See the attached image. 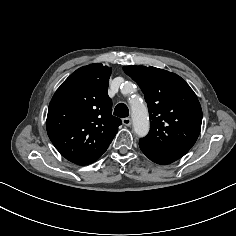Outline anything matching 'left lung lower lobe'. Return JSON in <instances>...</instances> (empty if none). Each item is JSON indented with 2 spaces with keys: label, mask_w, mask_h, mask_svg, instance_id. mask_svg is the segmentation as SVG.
<instances>
[{
  "label": "left lung lower lobe",
  "mask_w": 236,
  "mask_h": 236,
  "mask_svg": "<svg viewBox=\"0 0 236 236\" xmlns=\"http://www.w3.org/2000/svg\"><path fill=\"white\" fill-rule=\"evenodd\" d=\"M139 147L151 161L161 165L170 164L189 151L187 148L152 147L141 142H139Z\"/></svg>",
  "instance_id": "left-lung-lower-lobe-1"
}]
</instances>
